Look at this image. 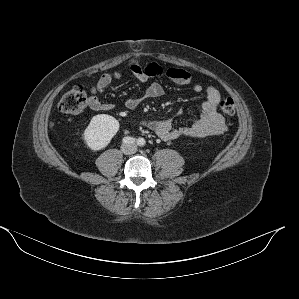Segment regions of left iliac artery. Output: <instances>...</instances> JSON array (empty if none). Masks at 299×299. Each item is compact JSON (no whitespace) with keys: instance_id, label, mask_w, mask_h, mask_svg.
Listing matches in <instances>:
<instances>
[{"instance_id":"obj_1","label":"left iliac artery","mask_w":299,"mask_h":299,"mask_svg":"<svg viewBox=\"0 0 299 299\" xmlns=\"http://www.w3.org/2000/svg\"><path fill=\"white\" fill-rule=\"evenodd\" d=\"M144 144H145V140H144L143 138H139V139L137 140V145H138V146H144Z\"/></svg>"}]
</instances>
